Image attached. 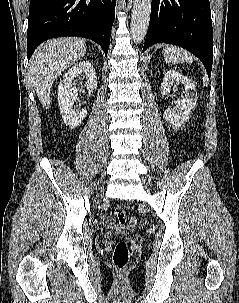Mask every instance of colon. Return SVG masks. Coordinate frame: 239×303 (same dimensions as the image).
Here are the masks:
<instances>
[{"label":"colon","instance_id":"colon-1","mask_svg":"<svg viewBox=\"0 0 239 303\" xmlns=\"http://www.w3.org/2000/svg\"><path fill=\"white\" fill-rule=\"evenodd\" d=\"M114 216L121 226L126 223V212L122 207H116L114 209ZM130 252L127 243L124 240L119 241L113 251V265L118 270L126 268L129 262Z\"/></svg>","mask_w":239,"mask_h":303}]
</instances>
